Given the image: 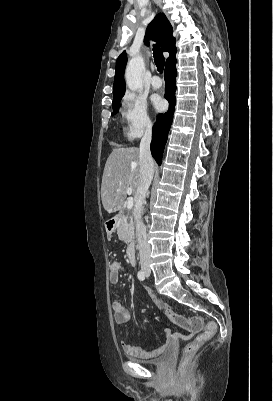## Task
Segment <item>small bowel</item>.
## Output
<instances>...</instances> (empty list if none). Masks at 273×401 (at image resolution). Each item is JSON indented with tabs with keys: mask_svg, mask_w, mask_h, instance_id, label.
I'll return each mask as SVG.
<instances>
[{
	"mask_svg": "<svg viewBox=\"0 0 273 401\" xmlns=\"http://www.w3.org/2000/svg\"><path fill=\"white\" fill-rule=\"evenodd\" d=\"M122 269V265L119 261H113L110 263L109 266V280L112 284L118 283L120 279V272ZM146 294H155L154 291L151 289L150 292ZM158 297V296H157ZM158 299H161L158 297ZM112 309L114 313V320L117 324H126L131 319V312L125 306V304L121 301H114L112 303ZM171 321H186L187 318L180 315L178 320L170 319ZM166 334V341L162 343L155 351L146 352L141 350L137 347H134L127 343H122V349L125 353H128L133 356H155L172 345V340L176 338L175 334H173L169 329L165 330Z\"/></svg>",
	"mask_w": 273,
	"mask_h": 401,
	"instance_id": "1",
	"label": "small bowel"
}]
</instances>
